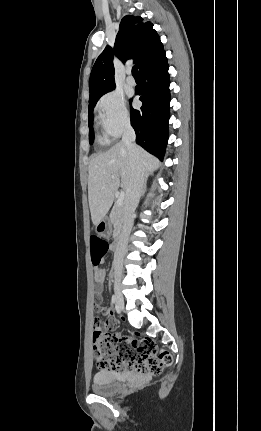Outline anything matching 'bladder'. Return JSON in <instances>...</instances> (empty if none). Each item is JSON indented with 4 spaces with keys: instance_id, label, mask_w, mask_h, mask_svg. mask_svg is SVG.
<instances>
[{
    "instance_id": "1",
    "label": "bladder",
    "mask_w": 261,
    "mask_h": 431,
    "mask_svg": "<svg viewBox=\"0 0 261 431\" xmlns=\"http://www.w3.org/2000/svg\"><path fill=\"white\" fill-rule=\"evenodd\" d=\"M124 376L109 370L97 372L93 376L92 390L98 395H112L123 387Z\"/></svg>"
}]
</instances>
